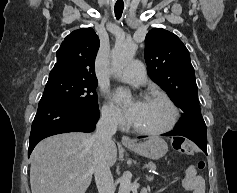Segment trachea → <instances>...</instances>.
<instances>
[{
	"instance_id": "obj_1",
	"label": "trachea",
	"mask_w": 237,
	"mask_h": 193,
	"mask_svg": "<svg viewBox=\"0 0 237 193\" xmlns=\"http://www.w3.org/2000/svg\"><path fill=\"white\" fill-rule=\"evenodd\" d=\"M122 13H123V6H115V16L117 19L121 18Z\"/></svg>"
}]
</instances>
